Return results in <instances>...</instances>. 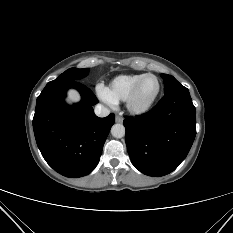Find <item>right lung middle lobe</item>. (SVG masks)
Listing matches in <instances>:
<instances>
[{
  "label": "right lung middle lobe",
  "mask_w": 233,
  "mask_h": 233,
  "mask_svg": "<svg viewBox=\"0 0 233 233\" xmlns=\"http://www.w3.org/2000/svg\"><path fill=\"white\" fill-rule=\"evenodd\" d=\"M88 73H89V68H85V69L70 68L61 75H59L55 80L49 82L48 84H58V83H66L71 81H78L86 77Z\"/></svg>",
  "instance_id": "dd1d6c3e"
}]
</instances>
